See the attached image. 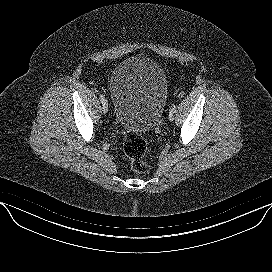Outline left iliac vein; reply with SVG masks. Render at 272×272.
Masks as SVG:
<instances>
[{
	"mask_svg": "<svg viewBox=\"0 0 272 272\" xmlns=\"http://www.w3.org/2000/svg\"><path fill=\"white\" fill-rule=\"evenodd\" d=\"M174 114H175V112H172V111L169 112L168 118H169L170 121H173Z\"/></svg>",
	"mask_w": 272,
	"mask_h": 272,
	"instance_id": "4c4485c4",
	"label": "left iliac vein"
}]
</instances>
